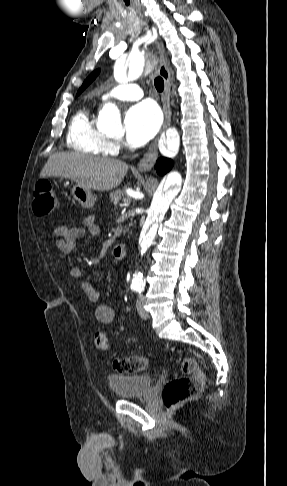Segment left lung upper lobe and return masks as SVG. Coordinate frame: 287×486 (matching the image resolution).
<instances>
[{
    "label": "left lung upper lobe",
    "instance_id": "5c2ea615",
    "mask_svg": "<svg viewBox=\"0 0 287 486\" xmlns=\"http://www.w3.org/2000/svg\"><path fill=\"white\" fill-rule=\"evenodd\" d=\"M100 70H96L94 72H92L87 78L86 80L84 81V83L82 84L81 88L79 89V91L77 92V95H79L96 77L97 75L99 74Z\"/></svg>",
    "mask_w": 287,
    "mask_h": 486
}]
</instances>
